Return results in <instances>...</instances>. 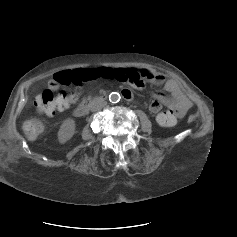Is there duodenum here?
Listing matches in <instances>:
<instances>
[{
	"mask_svg": "<svg viewBox=\"0 0 237 237\" xmlns=\"http://www.w3.org/2000/svg\"><path fill=\"white\" fill-rule=\"evenodd\" d=\"M121 93L125 98L127 99L131 98V93L128 89H123ZM103 98L104 96L100 95V96H95V97L85 99L83 102L80 103V105L75 110V116L80 117V116L85 115L94 103L102 100Z\"/></svg>",
	"mask_w": 237,
	"mask_h": 237,
	"instance_id": "1",
	"label": "duodenum"
}]
</instances>
